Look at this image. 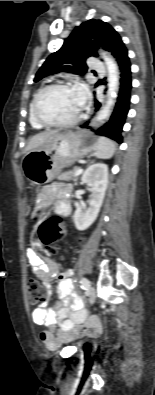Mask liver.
<instances>
[{
  "mask_svg": "<svg viewBox=\"0 0 155 395\" xmlns=\"http://www.w3.org/2000/svg\"><path fill=\"white\" fill-rule=\"evenodd\" d=\"M58 134L57 131H46L39 134L34 135L30 138L27 147L25 148L26 152H29L34 149H38L45 144L49 143L51 138Z\"/></svg>",
  "mask_w": 155,
  "mask_h": 395,
  "instance_id": "liver-1",
  "label": "liver"
}]
</instances>
